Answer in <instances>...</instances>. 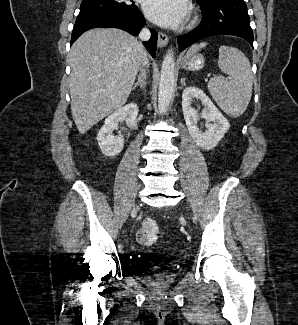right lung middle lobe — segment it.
Segmentation results:
<instances>
[{"label": "right lung middle lobe", "mask_w": 298, "mask_h": 325, "mask_svg": "<svg viewBox=\"0 0 298 325\" xmlns=\"http://www.w3.org/2000/svg\"><path fill=\"white\" fill-rule=\"evenodd\" d=\"M132 0H82L79 14L102 12L108 10L137 9Z\"/></svg>", "instance_id": "dd1d6c3e"}]
</instances>
